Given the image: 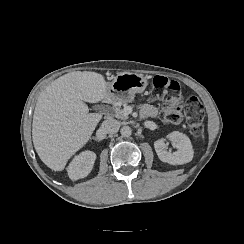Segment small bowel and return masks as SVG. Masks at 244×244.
Instances as JSON below:
<instances>
[{
    "instance_id": "small-bowel-1",
    "label": "small bowel",
    "mask_w": 244,
    "mask_h": 244,
    "mask_svg": "<svg viewBox=\"0 0 244 244\" xmlns=\"http://www.w3.org/2000/svg\"><path fill=\"white\" fill-rule=\"evenodd\" d=\"M158 113V109L153 105L148 104L142 108V114L145 117H156Z\"/></svg>"
}]
</instances>
